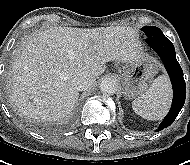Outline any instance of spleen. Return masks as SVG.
Returning a JSON list of instances; mask_svg holds the SVG:
<instances>
[{"label":"spleen","instance_id":"obj_1","mask_svg":"<svg viewBox=\"0 0 190 165\" xmlns=\"http://www.w3.org/2000/svg\"><path fill=\"white\" fill-rule=\"evenodd\" d=\"M172 89L168 77H157L142 96L135 99L132 108L136 114L147 120H160L168 112Z\"/></svg>","mask_w":190,"mask_h":165}]
</instances>
